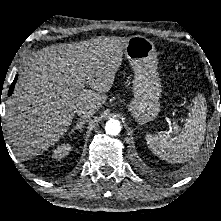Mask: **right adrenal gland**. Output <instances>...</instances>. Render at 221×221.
<instances>
[{
  "mask_svg": "<svg viewBox=\"0 0 221 221\" xmlns=\"http://www.w3.org/2000/svg\"><path fill=\"white\" fill-rule=\"evenodd\" d=\"M87 122V120H78L76 125L72 128L71 132H74L75 130H83V125Z\"/></svg>",
  "mask_w": 221,
  "mask_h": 221,
  "instance_id": "obj_1",
  "label": "right adrenal gland"
}]
</instances>
